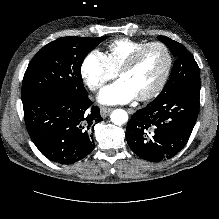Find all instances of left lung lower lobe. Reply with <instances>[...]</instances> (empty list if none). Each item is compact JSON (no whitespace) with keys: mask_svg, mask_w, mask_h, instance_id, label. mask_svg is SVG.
<instances>
[{"mask_svg":"<svg viewBox=\"0 0 219 219\" xmlns=\"http://www.w3.org/2000/svg\"><path fill=\"white\" fill-rule=\"evenodd\" d=\"M200 85H185L154 99L133 114L126 140L139 157L158 162L175 156L187 143L199 112Z\"/></svg>","mask_w":219,"mask_h":219,"instance_id":"obj_1","label":"left lung lower lobe"}]
</instances>
